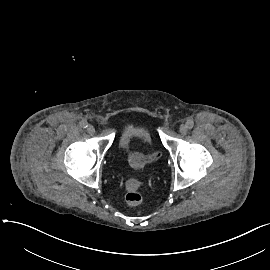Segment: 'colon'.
Returning <instances> with one entry per match:
<instances>
[{"mask_svg":"<svg viewBox=\"0 0 270 270\" xmlns=\"http://www.w3.org/2000/svg\"><path fill=\"white\" fill-rule=\"evenodd\" d=\"M125 201L130 205H138L142 202V194L134 186L128 187L125 193Z\"/></svg>","mask_w":270,"mask_h":270,"instance_id":"obj_1","label":"colon"}]
</instances>
